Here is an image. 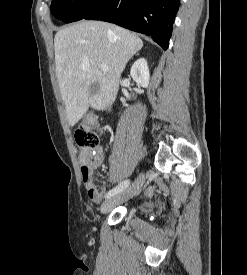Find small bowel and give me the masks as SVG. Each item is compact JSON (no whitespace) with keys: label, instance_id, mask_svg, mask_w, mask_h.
Segmentation results:
<instances>
[{"label":"small bowel","instance_id":"c3829d8e","mask_svg":"<svg viewBox=\"0 0 247 275\" xmlns=\"http://www.w3.org/2000/svg\"><path fill=\"white\" fill-rule=\"evenodd\" d=\"M81 166V176L83 180L84 187L87 191L88 198L93 202H99L101 199V191L94 183V172L104 161V152L102 148H96L94 150V157L87 161H83L80 157ZM153 189L150 188L148 193H152Z\"/></svg>","mask_w":247,"mask_h":275}]
</instances>
